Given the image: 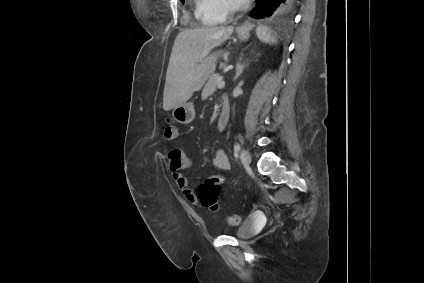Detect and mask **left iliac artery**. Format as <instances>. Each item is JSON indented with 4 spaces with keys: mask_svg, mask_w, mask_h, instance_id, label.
Returning <instances> with one entry per match:
<instances>
[{
    "mask_svg": "<svg viewBox=\"0 0 424 283\" xmlns=\"http://www.w3.org/2000/svg\"><path fill=\"white\" fill-rule=\"evenodd\" d=\"M240 149H241L240 145H239L238 143H236V144L234 145V154H235V156H237V155H238V153H239Z\"/></svg>",
    "mask_w": 424,
    "mask_h": 283,
    "instance_id": "left-iliac-artery-1",
    "label": "left iliac artery"
}]
</instances>
